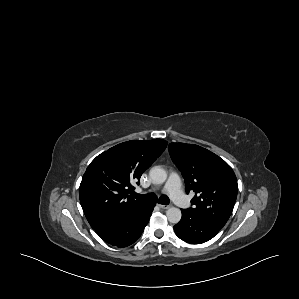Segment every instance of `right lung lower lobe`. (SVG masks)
<instances>
[{
    "mask_svg": "<svg viewBox=\"0 0 299 299\" xmlns=\"http://www.w3.org/2000/svg\"><path fill=\"white\" fill-rule=\"evenodd\" d=\"M154 204H147L137 211L100 225L94 230L107 243L119 248L134 243L142 234L152 214Z\"/></svg>",
    "mask_w": 299,
    "mask_h": 299,
    "instance_id": "right-lung-lower-lobe-1",
    "label": "right lung lower lobe"
}]
</instances>
